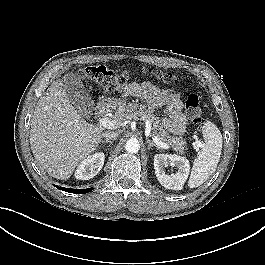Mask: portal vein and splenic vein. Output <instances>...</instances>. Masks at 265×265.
<instances>
[{"mask_svg": "<svg viewBox=\"0 0 265 265\" xmlns=\"http://www.w3.org/2000/svg\"><path fill=\"white\" fill-rule=\"evenodd\" d=\"M98 122L101 126H103L104 128H107V129H117L119 127V122L118 120H111L109 118H99L98 119ZM151 129V126L150 124L148 123L147 125V131H150ZM153 141L156 143L157 146H159L160 148L162 149H169L170 146L169 144L163 142L160 138H158L157 136H153ZM196 145L197 147H201V142L200 141H196Z\"/></svg>", "mask_w": 265, "mask_h": 265, "instance_id": "obj_1", "label": "portal vein and splenic vein"}]
</instances>
